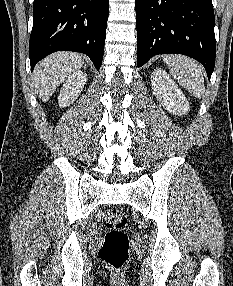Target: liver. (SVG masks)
Masks as SVG:
<instances>
[{"mask_svg": "<svg viewBox=\"0 0 233 286\" xmlns=\"http://www.w3.org/2000/svg\"><path fill=\"white\" fill-rule=\"evenodd\" d=\"M84 64V56L72 52H58L41 61L33 73L34 86L43 102H47L56 88Z\"/></svg>", "mask_w": 233, "mask_h": 286, "instance_id": "6515ba94", "label": "liver"}]
</instances>
